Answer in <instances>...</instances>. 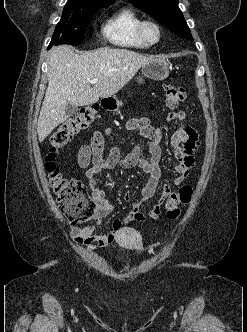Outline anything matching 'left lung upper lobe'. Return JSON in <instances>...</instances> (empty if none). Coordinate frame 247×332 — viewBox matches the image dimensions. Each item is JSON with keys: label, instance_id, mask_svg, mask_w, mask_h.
<instances>
[{"label": "left lung upper lobe", "instance_id": "left-lung-upper-lobe-1", "mask_svg": "<svg viewBox=\"0 0 247 332\" xmlns=\"http://www.w3.org/2000/svg\"><path fill=\"white\" fill-rule=\"evenodd\" d=\"M134 6L153 16L174 34L193 41L190 29L178 7V0H129Z\"/></svg>", "mask_w": 247, "mask_h": 332}]
</instances>
